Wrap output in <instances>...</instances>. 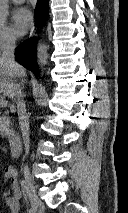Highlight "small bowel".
Listing matches in <instances>:
<instances>
[{
    "mask_svg": "<svg viewBox=\"0 0 128 213\" xmlns=\"http://www.w3.org/2000/svg\"><path fill=\"white\" fill-rule=\"evenodd\" d=\"M3 180L10 183L13 192L10 195L8 190L2 191V196L9 209V213H18L20 210L21 190L17 180V171L13 166H6L3 169Z\"/></svg>",
    "mask_w": 128,
    "mask_h": 213,
    "instance_id": "c3829d8e",
    "label": "small bowel"
}]
</instances>
